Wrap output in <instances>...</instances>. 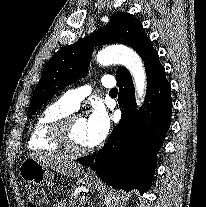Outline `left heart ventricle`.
Masks as SVG:
<instances>
[{
  "label": "left heart ventricle",
  "mask_w": 206,
  "mask_h": 207,
  "mask_svg": "<svg viewBox=\"0 0 206 207\" xmlns=\"http://www.w3.org/2000/svg\"><path fill=\"white\" fill-rule=\"evenodd\" d=\"M70 138L72 144L77 148L89 147L86 138V120L84 118L74 121L70 129Z\"/></svg>",
  "instance_id": "obj_1"
}]
</instances>
